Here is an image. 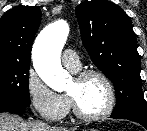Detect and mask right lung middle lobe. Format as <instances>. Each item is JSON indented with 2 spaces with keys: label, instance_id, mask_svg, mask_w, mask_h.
Instances as JSON below:
<instances>
[{
  "label": "right lung middle lobe",
  "instance_id": "right-lung-middle-lobe-1",
  "mask_svg": "<svg viewBox=\"0 0 147 131\" xmlns=\"http://www.w3.org/2000/svg\"><path fill=\"white\" fill-rule=\"evenodd\" d=\"M30 64L0 61V102L29 107Z\"/></svg>",
  "mask_w": 147,
  "mask_h": 131
}]
</instances>
